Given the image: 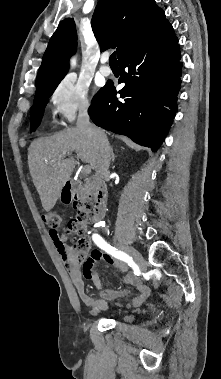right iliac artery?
<instances>
[{"mask_svg": "<svg viewBox=\"0 0 221 379\" xmlns=\"http://www.w3.org/2000/svg\"><path fill=\"white\" fill-rule=\"evenodd\" d=\"M92 239L98 247L103 249L108 254L114 256L117 259H120V260L126 262L129 266H132V267L135 266V263H134L132 257H130L125 252L112 247L99 234H93Z\"/></svg>", "mask_w": 221, "mask_h": 379, "instance_id": "1", "label": "right iliac artery"}]
</instances>
